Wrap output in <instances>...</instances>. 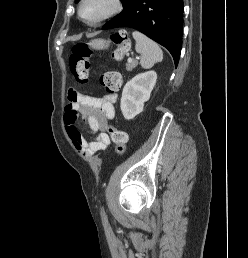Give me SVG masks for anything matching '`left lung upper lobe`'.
<instances>
[{"instance_id": "1", "label": "left lung upper lobe", "mask_w": 248, "mask_h": 258, "mask_svg": "<svg viewBox=\"0 0 248 258\" xmlns=\"http://www.w3.org/2000/svg\"><path fill=\"white\" fill-rule=\"evenodd\" d=\"M80 0H75V2H79ZM130 0H121L122 4H123V8H125V6L129 3Z\"/></svg>"}]
</instances>
